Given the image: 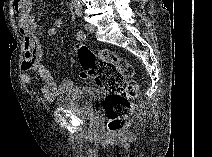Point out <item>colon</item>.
Here are the masks:
<instances>
[{
	"instance_id": "obj_1",
	"label": "colon",
	"mask_w": 212,
	"mask_h": 157,
	"mask_svg": "<svg viewBox=\"0 0 212 157\" xmlns=\"http://www.w3.org/2000/svg\"><path fill=\"white\" fill-rule=\"evenodd\" d=\"M82 72L108 92L106 112L107 129L117 136L128 124L132 114V100L137 97L139 84L133 66L115 52L107 49L94 51L85 45L75 48Z\"/></svg>"
}]
</instances>
